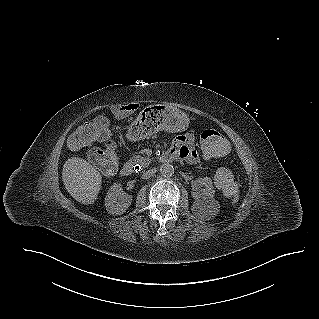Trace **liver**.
<instances>
[{
  "label": "liver",
  "mask_w": 319,
  "mask_h": 319,
  "mask_svg": "<svg viewBox=\"0 0 319 319\" xmlns=\"http://www.w3.org/2000/svg\"><path fill=\"white\" fill-rule=\"evenodd\" d=\"M62 179L69 194L82 204H93L101 190V174L80 157H71L64 163Z\"/></svg>",
  "instance_id": "6515ba94"
}]
</instances>
